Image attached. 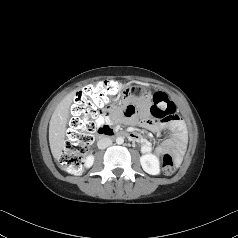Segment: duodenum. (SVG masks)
Masks as SVG:
<instances>
[{"mask_svg":"<svg viewBox=\"0 0 238 238\" xmlns=\"http://www.w3.org/2000/svg\"><path fill=\"white\" fill-rule=\"evenodd\" d=\"M98 136L100 138H105V137H113V136H118V137H126L131 141H138V136L135 133H129V132H124V131H115L109 126H102L98 130Z\"/></svg>","mask_w":238,"mask_h":238,"instance_id":"obj_1","label":"duodenum"}]
</instances>
